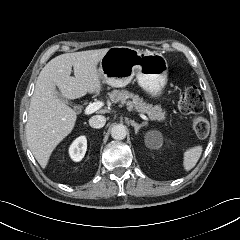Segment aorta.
<instances>
[{"label":"aorta","mask_w":240,"mask_h":240,"mask_svg":"<svg viewBox=\"0 0 240 240\" xmlns=\"http://www.w3.org/2000/svg\"><path fill=\"white\" fill-rule=\"evenodd\" d=\"M127 130L126 127L122 124H116L111 129V136L115 140H122L126 137Z\"/></svg>","instance_id":"1"}]
</instances>
